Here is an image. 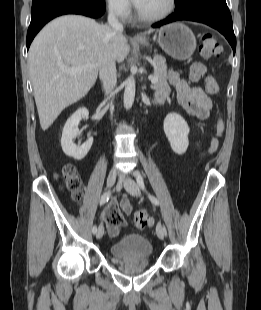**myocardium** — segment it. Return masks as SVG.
Returning <instances> with one entry per match:
<instances>
[{
	"label": "myocardium",
	"instance_id": "obj_1",
	"mask_svg": "<svg viewBox=\"0 0 261 310\" xmlns=\"http://www.w3.org/2000/svg\"><path fill=\"white\" fill-rule=\"evenodd\" d=\"M176 8V0H168L167 7L161 12L156 15H145L139 11L138 8H136V16L137 18L142 22H158L165 18H167Z\"/></svg>",
	"mask_w": 261,
	"mask_h": 310
}]
</instances>
